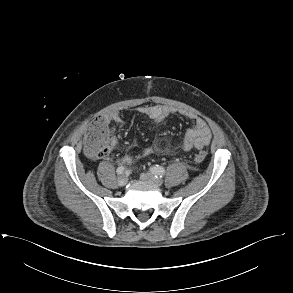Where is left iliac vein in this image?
Listing matches in <instances>:
<instances>
[{"mask_svg":"<svg viewBox=\"0 0 293 293\" xmlns=\"http://www.w3.org/2000/svg\"><path fill=\"white\" fill-rule=\"evenodd\" d=\"M141 179L148 181V182L154 184L155 186H161L163 183L162 179L156 178L152 173H142Z\"/></svg>","mask_w":293,"mask_h":293,"instance_id":"4c4485c4","label":"left iliac vein"}]
</instances>
